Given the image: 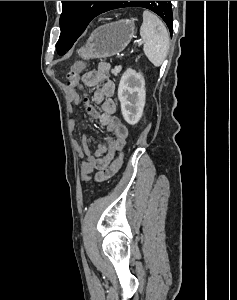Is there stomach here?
<instances>
[{
    "instance_id": "1",
    "label": "stomach",
    "mask_w": 237,
    "mask_h": 300,
    "mask_svg": "<svg viewBox=\"0 0 237 300\" xmlns=\"http://www.w3.org/2000/svg\"><path fill=\"white\" fill-rule=\"evenodd\" d=\"M135 31L134 19H121L116 23L102 25L91 33L87 43L77 53L84 61L119 55L133 39Z\"/></svg>"
}]
</instances>
